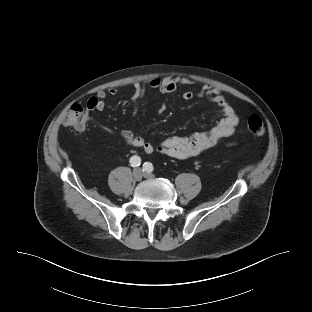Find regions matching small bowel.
Returning <instances> with one entry per match:
<instances>
[{
    "label": "small bowel",
    "mask_w": 312,
    "mask_h": 312,
    "mask_svg": "<svg viewBox=\"0 0 312 312\" xmlns=\"http://www.w3.org/2000/svg\"><path fill=\"white\" fill-rule=\"evenodd\" d=\"M190 82L189 79L182 77L152 78L144 83L135 82L133 84L134 93L132 95V101L135 105L134 110L137 111L138 100L145 96L147 88L157 90L162 94H171L177 92L182 86ZM117 94L118 90L115 87H110L107 90H99L96 96L88 100V108L93 111H103L106 107V98L108 96H116ZM182 97L185 100H192L195 97L208 100L220 108L223 118L208 132L195 133L189 136H171L158 144L148 142L136 132L125 129L121 131L125 142L132 147L142 148L147 154H162L173 158L184 159L198 155L206 149L217 145L224 138L233 135L239 123V118L219 88L205 85L196 91H183ZM165 108L166 105L163 104L160 107V112H163Z\"/></svg>",
    "instance_id": "c3829d8e"
}]
</instances>
